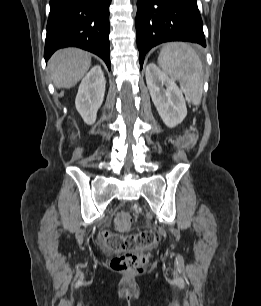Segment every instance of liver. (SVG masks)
<instances>
[{"label":"liver","instance_id":"liver-1","mask_svg":"<svg viewBox=\"0 0 261 306\" xmlns=\"http://www.w3.org/2000/svg\"><path fill=\"white\" fill-rule=\"evenodd\" d=\"M91 66V55L69 48L57 51L50 59L49 71L57 88L74 87Z\"/></svg>","mask_w":261,"mask_h":306}]
</instances>
